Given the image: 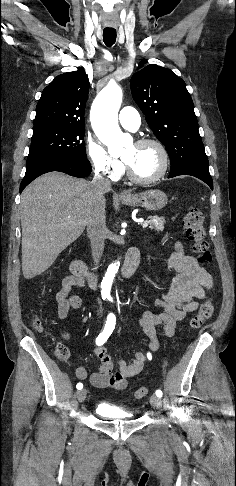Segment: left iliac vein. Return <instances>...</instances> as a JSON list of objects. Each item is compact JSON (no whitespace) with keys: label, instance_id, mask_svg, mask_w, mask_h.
<instances>
[{"label":"left iliac vein","instance_id":"obj_1","mask_svg":"<svg viewBox=\"0 0 236 486\" xmlns=\"http://www.w3.org/2000/svg\"><path fill=\"white\" fill-rule=\"evenodd\" d=\"M150 404L155 408H160L162 405V401L158 396L152 395L150 397Z\"/></svg>","mask_w":236,"mask_h":486}]
</instances>
